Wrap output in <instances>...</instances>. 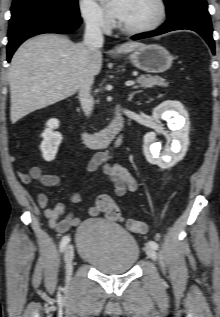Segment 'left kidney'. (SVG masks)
Listing matches in <instances>:
<instances>
[{"label":"left kidney","mask_w":220,"mask_h":317,"mask_svg":"<svg viewBox=\"0 0 220 317\" xmlns=\"http://www.w3.org/2000/svg\"><path fill=\"white\" fill-rule=\"evenodd\" d=\"M155 120H166L171 130L172 143L160 154L161 144L155 142L156 134L149 132L144 136L143 151L147 161L161 168H170L180 161L189 145V118L184 106L178 101H165L153 110Z\"/></svg>","instance_id":"5707ae66"}]
</instances>
